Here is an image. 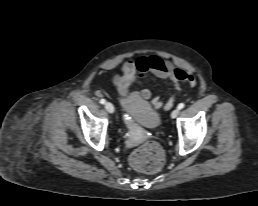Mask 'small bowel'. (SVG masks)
<instances>
[{"mask_svg":"<svg viewBox=\"0 0 258 206\" xmlns=\"http://www.w3.org/2000/svg\"><path fill=\"white\" fill-rule=\"evenodd\" d=\"M147 74H153L160 79L171 83L175 94L164 103L159 97L151 99V90L145 88L141 94L144 99H151L155 108L169 109L175 100V95L182 90L185 82H196L195 77L189 72L174 66L170 61L157 56L139 57L136 60H126L121 66L120 73L113 78V83L121 96H125L131 85L141 84Z\"/></svg>","mask_w":258,"mask_h":206,"instance_id":"small-bowel-1","label":"small bowel"}]
</instances>
